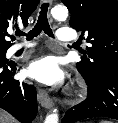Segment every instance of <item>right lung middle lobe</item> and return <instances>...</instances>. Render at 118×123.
<instances>
[{
  "label": "right lung middle lobe",
  "instance_id": "dd1d6c3e",
  "mask_svg": "<svg viewBox=\"0 0 118 123\" xmlns=\"http://www.w3.org/2000/svg\"><path fill=\"white\" fill-rule=\"evenodd\" d=\"M7 50H0V64L7 63V59L5 58Z\"/></svg>",
  "mask_w": 118,
  "mask_h": 123
}]
</instances>
